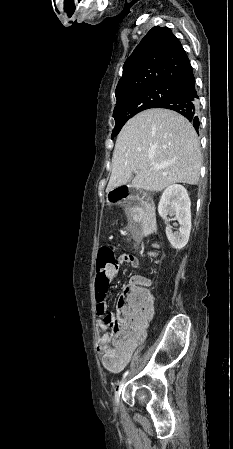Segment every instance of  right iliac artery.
<instances>
[{"label": "right iliac artery", "mask_w": 233, "mask_h": 449, "mask_svg": "<svg viewBox=\"0 0 233 449\" xmlns=\"http://www.w3.org/2000/svg\"><path fill=\"white\" fill-rule=\"evenodd\" d=\"M128 373H129V371H126V372L123 374V378H125V377L128 375Z\"/></svg>", "instance_id": "1"}]
</instances>
